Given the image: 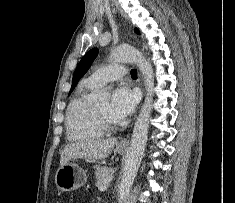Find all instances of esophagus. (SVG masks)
Returning a JSON list of instances; mask_svg holds the SVG:
<instances>
[{
	"label": "esophagus",
	"mask_w": 235,
	"mask_h": 203,
	"mask_svg": "<svg viewBox=\"0 0 235 203\" xmlns=\"http://www.w3.org/2000/svg\"><path fill=\"white\" fill-rule=\"evenodd\" d=\"M129 144V139L126 138V139H123L121 142H120V145L122 146H127Z\"/></svg>",
	"instance_id": "34e87169"
}]
</instances>
